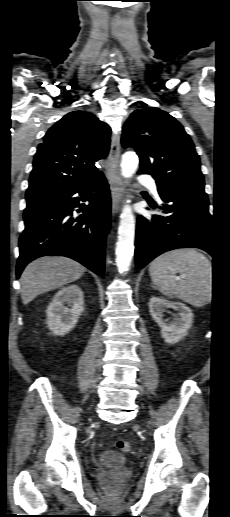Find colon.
Returning <instances> with one entry per match:
<instances>
[{"mask_svg": "<svg viewBox=\"0 0 230 517\" xmlns=\"http://www.w3.org/2000/svg\"><path fill=\"white\" fill-rule=\"evenodd\" d=\"M115 446L118 450L123 452H128L131 449V445L128 441L125 440H118L115 442ZM117 494V488L116 487H110L108 490V496L114 497Z\"/></svg>", "mask_w": 230, "mask_h": 517, "instance_id": "colon-1", "label": "colon"}]
</instances>
